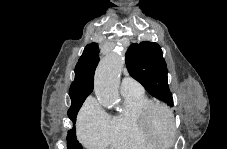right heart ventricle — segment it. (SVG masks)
I'll return each instance as SVG.
<instances>
[{
	"label": "right heart ventricle",
	"instance_id": "1",
	"mask_svg": "<svg viewBox=\"0 0 227 149\" xmlns=\"http://www.w3.org/2000/svg\"><path fill=\"white\" fill-rule=\"evenodd\" d=\"M123 99L122 110L110 117L107 144L118 149H153L138 123L139 112L152 101L144 91L125 93Z\"/></svg>",
	"mask_w": 227,
	"mask_h": 149
}]
</instances>
